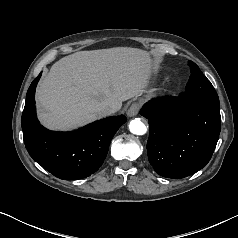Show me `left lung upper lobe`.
Listing matches in <instances>:
<instances>
[{
	"label": "left lung upper lobe",
	"instance_id": "5c2ea615",
	"mask_svg": "<svg viewBox=\"0 0 238 238\" xmlns=\"http://www.w3.org/2000/svg\"><path fill=\"white\" fill-rule=\"evenodd\" d=\"M190 66L191 76L186 85L185 92L181 93L184 99L195 97L218 98V95L211 82L200 71L199 67L192 61L188 62Z\"/></svg>",
	"mask_w": 238,
	"mask_h": 238
}]
</instances>
